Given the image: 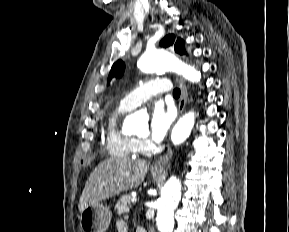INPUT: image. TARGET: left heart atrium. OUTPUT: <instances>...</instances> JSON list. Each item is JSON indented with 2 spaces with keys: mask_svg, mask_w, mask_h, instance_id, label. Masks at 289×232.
<instances>
[{
  "mask_svg": "<svg viewBox=\"0 0 289 232\" xmlns=\"http://www.w3.org/2000/svg\"><path fill=\"white\" fill-rule=\"evenodd\" d=\"M173 120L174 113L172 110H166L161 104H155L149 123L151 139L157 143L161 142L165 138Z\"/></svg>",
  "mask_w": 289,
  "mask_h": 232,
  "instance_id": "1",
  "label": "left heart atrium"
}]
</instances>
